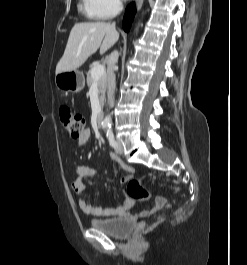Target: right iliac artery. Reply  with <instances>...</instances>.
I'll list each match as a JSON object with an SVG mask.
<instances>
[{"instance_id": "82829eb1", "label": "right iliac artery", "mask_w": 247, "mask_h": 265, "mask_svg": "<svg viewBox=\"0 0 247 265\" xmlns=\"http://www.w3.org/2000/svg\"><path fill=\"white\" fill-rule=\"evenodd\" d=\"M109 125L108 124H103V128H107Z\"/></svg>"}]
</instances>
